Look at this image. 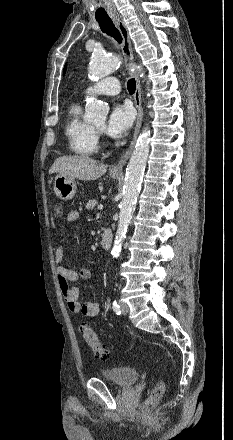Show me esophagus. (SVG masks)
<instances>
[{
    "mask_svg": "<svg viewBox=\"0 0 233 440\" xmlns=\"http://www.w3.org/2000/svg\"><path fill=\"white\" fill-rule=\"evenodd\" d=\"M113 22H114L115 26L118 28V30L122 36V41H123L122 50H123V54L125 55L126 60H127L126 67L132 73V75L135 77V80H136V90H135V94H134V102H135V106L138 111L135 132H134V136L131 141V144H130L129 148L126 150V152L122 155V157L120 158L118 163L115 164L114 166H112L110 169V171L112 173L121 174L122 169H123L124 165L126 164L128 158L134 148V145L136 143V140H137L140 128H141V124H142L143 109H142V103H141L140 80H139L138 74L136 72H134V69H132V66H131L133 59H134V56H133V48H132V43L130 40L128 29H127L123 19L120 16L114 17Z\"/></svg>",
    "mask_w": 233,
    "mask_h": 440,
    "instance_id": "esophagus-1",
    "label": "esophagus"
}]
</instances>
